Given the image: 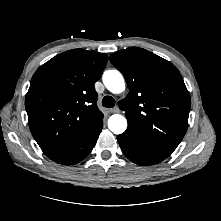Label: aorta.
I'll return each mask as SVG.
<instances>
[{"instance_id": "1", "label": "aorta", "mask_w": 221, "mask_h": 221, "mask_svg": "<svg viewBox=\"0 0 221 221\" xmlns=\"http://www.w3.org/2000/svg\"><path fill=\"white\" fill-rule=\"evenodd\" d=\"M105 87L114 94L125 90V81L118 70H107L103 74ZM108 128L114 134H122L127 128V120L120 114H114L108 119Z\"/></svg>"}]
</instances>
